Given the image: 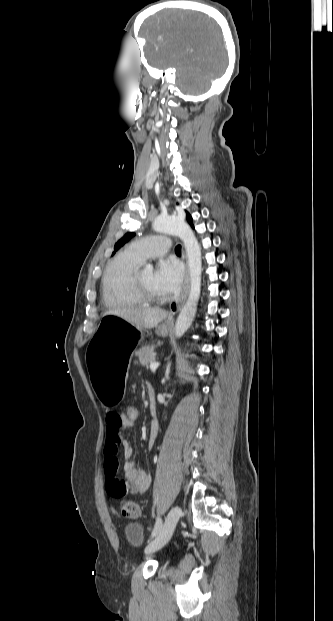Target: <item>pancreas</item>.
Masks as SVG:
<instances>
[{"label":"pancreas","instance_id":"obj_1","mask_svg":"<svg viewBox=\"0 0 333 621\" xmlns=\"http://www.w3.org/2000/svg\"><path fill=\"white\" fill-rule=\"evenodd\" d=\"M135 355L138 356L140 364L142 366L154 362L156 356V354L154 353V346H143L135 352Z\"/></svg>","mask_w":333,"mask_h":621}]
</instances>
